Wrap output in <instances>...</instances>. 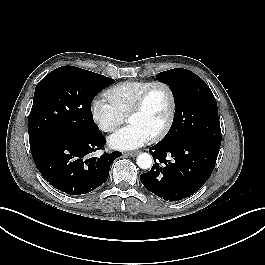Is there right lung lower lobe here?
Instances as JSON below:
<instances>
[{"mask_svg":"<svg viewBox=\"0 0 265 265\" xmlns=\"http://www.w3.org/2000/svg\"><path fill=\"white\" fill-rule=\"evenodd\" d=\"M104 144L99 131L42 138L30 142V148L38 170L53 187L70 195H81L106 182L111 162L122 155L113 152L91 157Z\"/></svg>","mask_w":265,"mask_h":265,"instance_id":"right-lung-lower-lobe-1","label":"right lung lower lobe"}]
</instances>
